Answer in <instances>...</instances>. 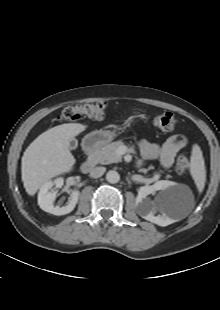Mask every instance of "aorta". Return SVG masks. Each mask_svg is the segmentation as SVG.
<instances>
[{
	"mask_svg": "<svg viewBox=\"0 0 220 310\" xmlns=\"http://www.w3.org/2000/svg\"><path fill=\"white\" fill-rule=\"evenodd\" d=\"M106 180L111 183V184H115L118 183L120 180V175L117 171L115 170H110L108 171L107 175H106Z\"/></svg>",
	"mask_w": 220,
	"mask_h": 310,
	"instance_id": "obj_1",
	"label": "aorta"
}]
</instances>
